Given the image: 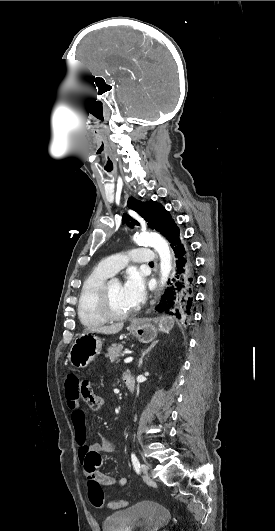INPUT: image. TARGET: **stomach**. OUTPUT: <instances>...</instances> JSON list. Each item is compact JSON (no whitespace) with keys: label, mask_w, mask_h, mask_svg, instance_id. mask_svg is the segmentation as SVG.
I'll list each match as a JSON object with an SVG mask.
<instances>
[{"label":"stomach","mask_w":275,"mask_h":531,"mask_svg":"<svg viewBox=\"0 0 275 531\" xmlns=\"http://www.w3.org/2000/svg\"><path fill=\"white\" fill-rule=\"evenodd\" d=\"M156 323H152L150 319H135L129 325L131 335H134L140 343H151L157 337V333H169L174 327L173 317H158L155 319ZM102 351V339L94 335V333H82L80 337L75 339L68 361L72 367L76 369H84L88 367L91 361H94L96 355Z\"/></svg>","instance_id":"1"}]
</instances>
